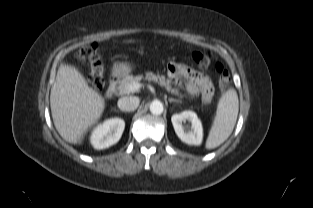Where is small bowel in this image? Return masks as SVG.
<instances>
[{"mask_svg": "<svg viewBox=\"0 0 313 208\" xmlns=\"http://www.w3.org/2000/svg\"><path fill=\"white\" fill-rule=\"evenodd\" d=\"M168 74L174 83L179 85L184 82L190 95L200 94L205 102L212 99L214 87L208 76L175 62L168 65Z\"/></svg>", "mask_w": 313, "mask_h": 208, "instance_id": "obj_1", "label": "small bowel"}]
</instances>
